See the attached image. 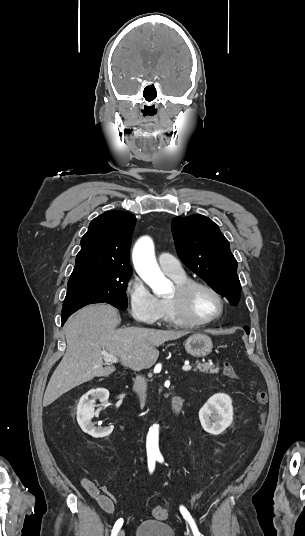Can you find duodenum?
I'll return each mask as SVG.
<instances>
[{"instance_id": "1", "label": "duodenum", "mask_w": 305, "mask_h": 536, "mask_svg": "<svg viewBox=\"0 0 305 536\" xmlns=\"http://www.w3.org/2000/svg\"><path fill=\"white\" fill-rule=\"evenodd\" d=\"M182 409V400L180 398H175L171 406V414L173 417L178 416Z\"/></svg>"}]
</instances>
